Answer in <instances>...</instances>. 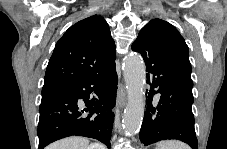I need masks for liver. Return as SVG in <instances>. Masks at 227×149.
<instances>
[{
    "instance_id": "liver-1",
    "label": "liver",
    "mask_w": 227,
    "mask_h": 149,
    "mask_svg": "<svg viewBox=\"0 0 227 149\" xmlns=\"http://www.w3.org/2000/svg\"><path fill=\"white\" fill-rule=\"evenodd\" d=\"M89 140L84 137H68L49 145L46 149H87ZM101 149H105L100 145Z\"/></svg>"
}]
</instances>
